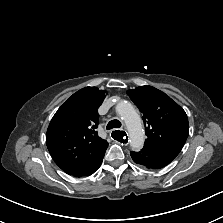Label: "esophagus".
Listing matches in <instances>:
<instances>
[{
    "mask_svg": "<svg viewBox=\"0 0 223 223\" xmlns=\"http://www.w3.org/2000/svg\"><path fill=\"white\" fill-rule=\"evenodd\" d=\"M112 139L122 145H128L129 137L126 131L114 129L111 131Z\"/></svg>",
    "mask_w": 223,
    "mask_h": 223,
    "instance_id": "obj_1",
    "label": "esophagus"
}]
</instances>
